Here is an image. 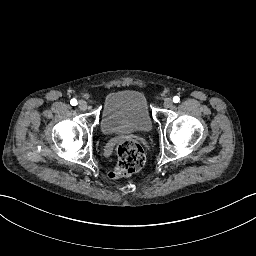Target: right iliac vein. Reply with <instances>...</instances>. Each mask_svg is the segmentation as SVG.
I'll use <instances>...</instances> for the list:
<instances>
[{"label": "right iliac vein", "mask_w": 256, "mask_h": 256, "mask_svg": "<svg viewBox=\"0 0 256 256\" xmlns=\"http://www.w3.org/2000/svg\"><path fill=\"white\" fill-rule=\"evenodd\" d=\"M78 107L81 111H86L88 108V103L84 100L80 101Z\"/></svg>", "instance_id": "obj_1"}]
</instances>
